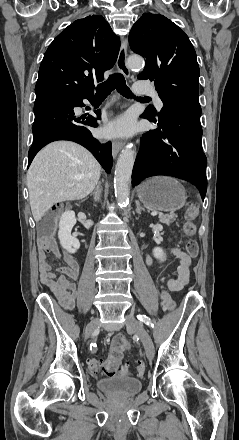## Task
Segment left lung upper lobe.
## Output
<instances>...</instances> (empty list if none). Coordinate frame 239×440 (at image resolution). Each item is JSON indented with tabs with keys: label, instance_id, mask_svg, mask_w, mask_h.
I'll list each match as a JSON object with an SVG mask.
<instances>
[{
	"label": "left lung upper lobe",
	"instance_id": "5c2ea615",
	"mask_svg": "<svg viewBox=\"0 0 239 440\" xmlns=\"http://www.w3.org/2000/svg\"><path fill=\"white\" fill-rule=\"evenodd\" d=\"M129 45L146 60L138 78L154 80L163 102L178 96L199 98L196 53L175 23L161 14L144 13L130 31ZM147 113L156 114L154 109Z\"/></svg>",
	"mask_w": 239,
	"mask_h": 440
}]
</instances>
